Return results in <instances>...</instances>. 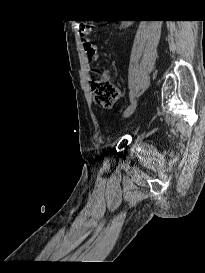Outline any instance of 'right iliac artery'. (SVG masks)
Here are the masks:
<instances>
[{
  "label": "right iliac artery",
  "instance_id": "obj_1",
  "mask_svg": "<svg viewBox=\"0 0 205 273\" xmlns=\"http://www.w3.org/2000/svg\"><path fill=\"white\" fill-rule=\"evenodd\" d=\"M133 100H134V95H133V93H132V92H130V102L132 103V102H133Z\"/></svg>",
  "mask_w": 205,
  "mask_h": 273
}]
</instances>
